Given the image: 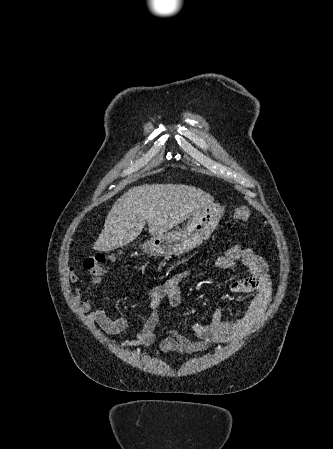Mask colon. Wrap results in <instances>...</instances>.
<instances>
[{"instance_id": "1", "label": "colon", "mask_w": 333, "mask_h": 449, "mask_svg": "<svg viewBox=\"0 0 333 449\" xmlns=\"http://www.w3.org/2000/svg\"><path fill=\"white\" fill-rule=\"evenodd\" d=\"M232 217L235 220L245 221L250 217V210L246 206L238 207L234 210ZM112 259V255H90L83 260V267L93 275L104 274L106 271L107 263Z\"/></svg>"}]
</instances>
